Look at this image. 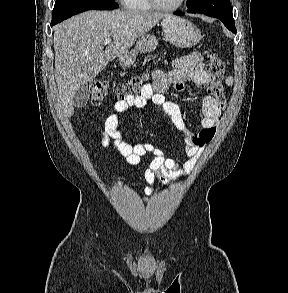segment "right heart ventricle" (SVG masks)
Returning <instances> with one entry per match:
<instances>
[{
  "label": "right heart ventricle",
  "mask_w": 288,
  "mask_h": 293,
  "mask_svg": "<svg viewBox=\"0 0 288 293\" xmlns=\"http://www.w3.org/2000/svg\"><path fill=\"white\" fill-rule=\"evenodd\" d=\"M123 4L127 9L134 11H149L153 8L148 0H124Z\"/></svg>",
  "instance_id": "e07e8e85"
}]
</instances>
